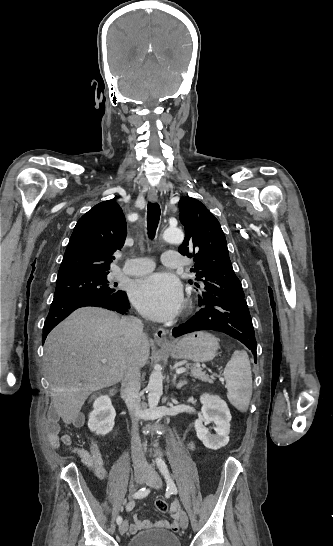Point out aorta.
<instances>
[{
  "instance_id": "762f6f07",
  "label": "aorta",
  "mask_w": 333,
  "mask_h": 546,
  "mask_svg": "<svg viewBox=\"0 0 333 546\" xmlns=\"http://www.w3.org/2000/svg\"><path fill=\"white\" fill-rule=\"evenodd\" d=\"M161 238L169 243L180 244L184 239V234L180 229H166ZM161 367L156 366L150 375L148 389L149 409H155L160 401L163 392V375Z\"/></svg>"
}]
</instances>
